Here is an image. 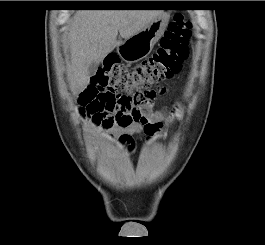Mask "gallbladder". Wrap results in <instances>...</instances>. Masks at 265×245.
I'll list each match as a JSON object with an SVG mask.
<instances>
[{"mask_svg":"<svg viewBox=\"0 0 265 245\" xmlns=\"http://www.w3.org/2000/svg\"><path fill=\"white\" fill-rule=\"evenodd\" d=\"M97 69H98V62L96 61L91 62L88 67V74L90 76H93L96 73Z\"/></svg>","mask_w":265,"mask_h":245,"instance_id":"gallbladder-1","label":"gallbladder"}]
</instances>
